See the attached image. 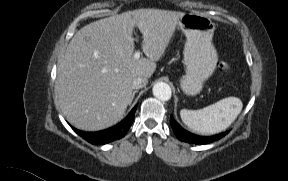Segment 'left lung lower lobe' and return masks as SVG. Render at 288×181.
<instances>
[{
	"label": "left lung lower lobe",
	"instance_id": "obj_1",
	"mask_svg": "<svg viewBox=\"0 0 288 181\" xmlns=\"http://www.w3.org/2000/svg\"><path fill=\"white\" fill-rule=\"evenodd\" d=\"M170 124L171 127L176 135V137L183 141V142H187V143H192V144H198V145H202V144H208L214 141H217L219 139H221L222 137H224L228 131L214 135V136H210V137H204V136H198L195 134H192L190 132H188L187 130L183 129L171 116L170 119Z\"/></svg>",
	"mask_w": 288,
	"mask_h": 181
}]
</instances>
